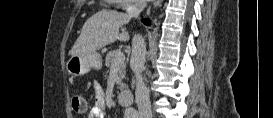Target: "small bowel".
<instances>
[{
    "label": "small bowel",
    "instance_id": "1",
    "mask_svg": "<svg viewBox=\"0 0 273 118\" xmlns=\"http://www.w3.org/2000/svg\"><path fill=\"white\" fill-rule=\"evenodd\" d=\"M95 104L90 109L89 118H104L106 98L103 88L99 84L94 85Z\"/></svg>",
    "mask_w": 273,
    "mask_h": 118
}]
</instances>
